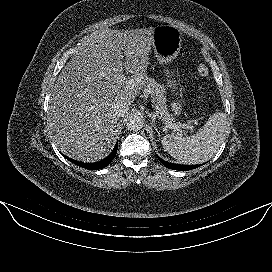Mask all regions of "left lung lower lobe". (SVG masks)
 I'll list each match as a JSON object with an SVG mask.
<instances>
[{"instance_id":"obj_1","label":"left lung lower lobe","mask_w":272,"mask_h":272,"mask_svg":"<svg viewBox=\"0 0 272 272\" xmlns=\"http://www.w3.org/2000/svg\"><path fill=\"white\" fill-rule=\"evenodd\" d=\"M157 158L159 159V161L167 168L169 169H173V170H180V171H186V170H190V169H195L200 165H180V164H172V163H168L164 160H162L161 158H159L157 156Z\"/></svg>"}]
</instances>
